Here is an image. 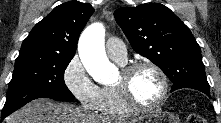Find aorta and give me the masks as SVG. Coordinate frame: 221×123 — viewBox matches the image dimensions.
<instances>
[{
    "label": "aorta",
    "mask_w": 221,
    "mask_h": 123,
    "mask_svg": "<svg viewBox=\"0 0 221 123\" xmlns=\"http://www.w3.org/2000/svg\"><path fill=\"white\" fill-rule=\"evenodd\" d=\"M104 39V25L96 22L83 31L78 44L79 56L85 69L100 84L112 82L116 71L107 58Z\"/></svg>",
    "instance_id": "1"
}]
</instances>
